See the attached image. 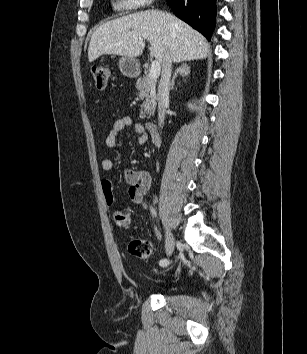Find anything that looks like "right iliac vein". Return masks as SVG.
<instances>
[{
	"label": "right iliac vein",
	"instance_id": "1",
	"mask_svg": "<svg viewBox=\"0 0 307 354\" xmlns=\"http://www.w3.org/2000/svg\"><path fill=\"white\" fill-rule=\"evenodd\" d=\"M174 246H175V239L171 231L167 228L166 230V243H165V248H166V254L167 256H171L173 251H174Z\"/></svg>",
	"mask_w": 307,
	"mask_h": 354
}]
</instances>
